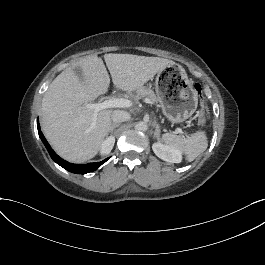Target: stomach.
Here are the masks:
<instances>
[{
	"instance_id": "obj_1",
	"label": "stomach",
	"mask_w": 265,
	"mask_h": 265,
	"mask_svg": "<svg viewBox=\"0 0 265 265\" xmlns=\"http://www.w3.org/2000/svg\"><path fill=\"white\" fill-rule=\"evenodd\" d=\"M155 91L164 116L172 123H181L196 110L198 96L180 65L167 66L155 80Z\"/></svg>"
}]
</instances>
